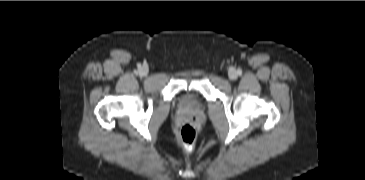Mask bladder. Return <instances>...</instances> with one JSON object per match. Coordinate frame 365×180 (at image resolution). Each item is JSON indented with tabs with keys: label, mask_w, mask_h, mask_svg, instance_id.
Here are the masks:
<instances>
[{
	"label": "bladder",
	"mask_w": 365,
	"mask_h": 180,
	"mask_svg": "<svg viewBox=\"0 0 365 180\" xmlns=\"http://www.w3.org/2000/svg\"><path fill=\"white\" fill-rule=\"evenodd\" d=\"M180 104L185 108H197L203 104L202 98L193 92L183 93L180 96Z\"/></svg>",
	"instance_id": "1"
}]
</instances>
